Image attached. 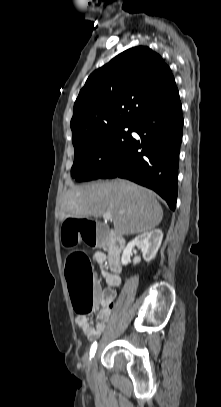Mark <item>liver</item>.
Segmentation results:
<instances>
[{"mask_svg": "<svg viewBox=\"0 0 221 407\" xmlns=\"http://www.w3.org/2000/svg\"><path fill=\"white\" fill-rule=\"evenodd\" d=\"M110 213L119 235L146 233L160 224L163 209L154 194L135 183L116 179L73 187L64 195L60 220Z\"/></svg>", "mask_w": 221, "mask_h": 407, "instance_id": "6515ba94", "label": "liver"}]
</instances>
